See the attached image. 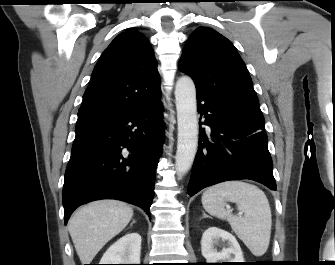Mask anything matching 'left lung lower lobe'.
I'll return each instance as SVG.
<instances>
[{
    "label": "left lung lower lobe",
    "mask_w": 335,
    "mask_h": 265,
    "mask_svg": "<svg viewBox=\"0 0 335 265\" xmlns=\"http://www.w3.org/2000/svg\"><path fill=\"white\" fill-rule=\"evenodd\" d=\"M196 96L203 124L209 125L211 132L199 129V149L187 193L193 196L205 187L238 179L276 190L265 122L202 93Z\"/></svg>",
    "instance_id": "left-lung-lower-lobe-1"
}]
</instances>
